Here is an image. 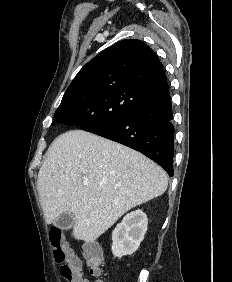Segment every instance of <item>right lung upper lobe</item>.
I'll list each match as a JSON object with an SVG mask.
<instances>
[{
  "mask_svg": "<svg viewBox=\"0 0 232 282\" xmlns=\"http://www.w3.org/2000/svg\"><path fill=\"white\" fill-rule=\"evenodd\" d=\"M111 89L139 91L152 101L169 91L162 63L151 48L135 39L119 41L86 63L62 101Z\"/></svg>",
  "mask_w": 232,
  "mask_h": 282,
  "instance_id": "cb5924a9",
  "label": "right lung upper lobe"
}]
</instances>
